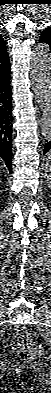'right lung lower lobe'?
Masks as SVG:
<instances>
[{
	"label": "right lung lower lobe",
	"mask_w": 51,
	"mask_h": 393,
	"mask_svg": "<svg viewBox=\"0 0 51 393\" xmlns=\"http://www.w3.org/2000/svg\"><path fill=\"white\" fill-rule=\"evenodd\" d=\"M10 69L0 74V158L11 170L12 138V93L10 87Z\"/></svg>",
	"instance_id": "1"
}]
</instances>
